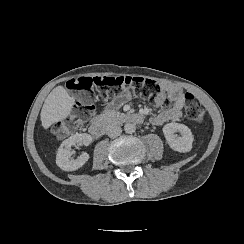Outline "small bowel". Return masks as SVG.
I'll use <instances>...</instances> for the list:
<instances>
[{
  "instance_id": "small-bowel-1",
  "label": "small bowel",
  "mask_w": 244,
  "mask_h": 244,
  "mask_svg": "<svg viewBox=\"0 0 244 244\" xmlns=\"http://www.w3.org/2000/svg\"><path fill=\"white\" fill-rule=\"evenodd\" d=\"M162 88L171 105L151 118V123L154 125H163L170 121L180 120L183 116V109L186 104L185 93L180 86L174 83L165 82L162 84ZM131 98L130 91H125L121 96L116 97L112 101V105L114 107H120L127 103ZM156 103L161 104L159 101H156ZM96 120L99 119H95L94 121Z\"/></svg>"
}]
</instances>
